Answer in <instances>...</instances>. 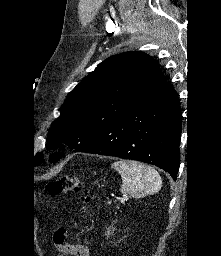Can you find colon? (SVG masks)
Returning <instances> with one entry per match:
<instances>
[{
    "label": "colon",
    "mask_w": 221,
    "mask_h": 256,
    "mask_svg": "<svg viewBox=\"0 0 221 256\" xmlns=\"http://www.w3.org/2000/svg\"><path fill=\"white\" fill-rule=\"evenodd\" d=\"M47 191L52 196L82 191L84 193V202L89 205L92 201V195L87 189L84 180L76 176H62L51 181L47 185ZM65 238V229L58 230L54 235V244L60 256H64L67 251L65 248Z\"/></svg>",
    "instance_id": "5ec220e1"
}]
</instances>
